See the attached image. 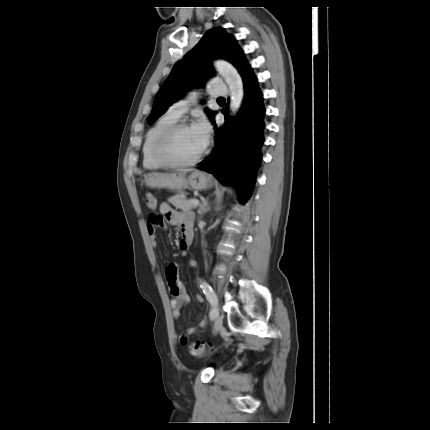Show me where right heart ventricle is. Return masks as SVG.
I'll list each match as a JSON object with an SVG mask.
<instances>
[{
    "mask_svg": "<svg viewBox=\"0 0 430 430\" xmlns=\"http://www.w3.org/2000/svg\"><path fill=\"white\" fill-rule=\"evenodd\" d=\"M178 118L179 117L167 111L148 129L142 145V164L144 168L161 169L166 166L154 157L152 148L158 135L167 127L177 122Z\"/></svg>",
    "mask_w": 430,
    "mask_h": 430,
    "instance_id": "obj_1",
    "label": "right heart ventricle"
}]
</instances>
